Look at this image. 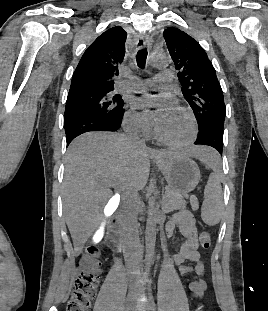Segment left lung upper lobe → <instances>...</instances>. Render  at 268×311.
I'll list each match as a JSON object with an SVG mask.
<instances>
[{
  "instance_id": "left-lung-upper-lobe-1",
  "label": "left lung upper lobe",
  "mask_w": 268,
  "mask_h": 311,
  "mask_svg": "<svg viewBox=\"0 0 268 311\" xmlns=\"http://www.w3.org/2000/svg\"><path fill=\"white\" fill-rule=\"evenodd\" d=\"M163 36L199 131L216 127L221 119L224 120L226 107L216 71L206 52L195 39L178 28L168 27Z\"/></svg>"
}]
</instances>
